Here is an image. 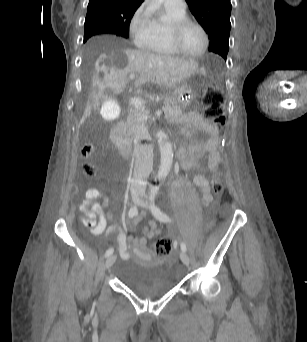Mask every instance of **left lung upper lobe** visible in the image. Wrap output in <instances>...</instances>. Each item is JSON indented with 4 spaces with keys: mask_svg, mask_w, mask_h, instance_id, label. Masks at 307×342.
Segmentation results:
<instances>
[{
    "mask_svg": "<svg viewBox=\"0 0 307 342\" xmlns=\"http://www.w3.org/2000/svg\"><path fill=\"white\" fill-rule=\"evenodd\" d=\"M186 2L198 23L209 35V51L221 55L226 60L231 29L230 0H186Z\"/></svg>",
    "mask_w": 307,
    "mask_h": 342,
    "instance_id": "1",
    "label": "left lung upper lobe"
}]
</instances>
